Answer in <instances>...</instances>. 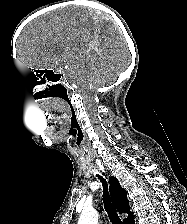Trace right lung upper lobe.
Returning <instances> with one entry per match:
<instances>
[{"label": "right lung upper lobe", "instance_id": "right-lung-upper-lobe-1", "mask_svg": "<svg viewBox=\"0 0 187 224\" xmlns=\"http://www.w3.org/2000/svg\"><path fill=\"white\" fill-rule=\"evenodd\" d=\"M109 182L112 201L119 213L129 214L128 217L123 220L125 224H128V222L133 218V214L130 212L129 200L127 199L126 190L121 187L115 177H111Z\"/></svg>", "mask_w": 187, "mask_h": 224}]
</instances>
